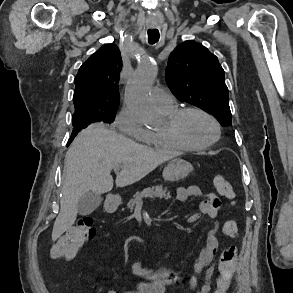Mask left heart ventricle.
<instances>
[{"label": "left heart ventricle", "instance_id": "b2bd125f", "mask_svg": "<svg viewBox=\"0 0 293 293\" xmlns=\"http://www.w3.org/2000/svg\"><path fill=\"white\" fill-rule=\"evenodd\" d=\"M181 130L185 139L192 144L206 143L215 136L213 124L198 113L187 114L182 121Z\"/></svg>", "mask_w": 293, "mask_h": 293}]
</instances>
